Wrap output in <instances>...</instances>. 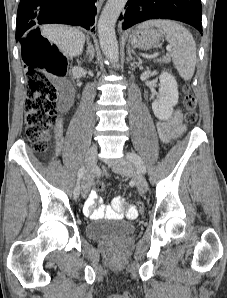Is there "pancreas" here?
I'll list each match as a JSON object with an SVG mask.
<instances>
[{"instance_id":"1","label":"pancreas","mask_w":227,"mask_h":298,"mask_svg":"<svg viewBox=\"0 0 227 298\" xmlns=\"http://www.w3.org/2000/svg\"><path fill=\"white\" fill-rule=\"evenodd\" d=\"M160 61H162V62H164V63H169V62H170V57H169V56H165V57H163L162 60H160Z\"/></svg>"}]
</instances>
